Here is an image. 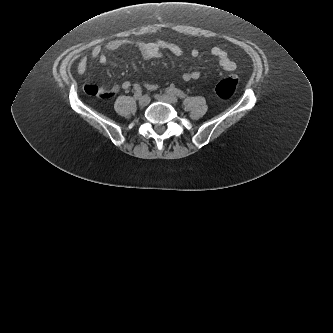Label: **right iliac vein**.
<instances>
[{
    "label": "right iliac vein",
    "mask_w": 333,
    "mask_h": 333,
    "mask_svg": "<svg viewBox=\"0 0 333 333\" xmlns=\"http://www.w3.org/2000/svg\"><path fill=\"white\" fill-rule=\"evenodd\" d=\"M150 103V97L148 95H143L142 97H140L139 99V105L141 107H145Z\"/></svg>",
    "instance_id": "right-iliac-vein-1"
}]
</instances>
